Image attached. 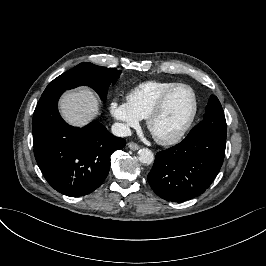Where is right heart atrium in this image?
<instances>
[{
  "mask_svg": "<svg viewBox=\"0 0 266 266\" xmlns=\"http://www.w3.org/2000/svg\"><path fill=\"white\" fill-rule=\"evenodd\" d=\"M109 109L111 115L120 121L124 128L134 127L140 122V118L128 101H119L114 98L110 101Z\"/></svg>",
  "mask_w": 266,
  "mask_h": 266,
  "instance_id": "1",
  "label": "right heart atrium"
}]
</instances>
